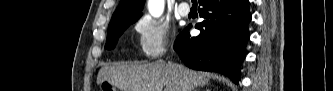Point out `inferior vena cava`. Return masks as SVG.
<instances>
[{
	"label": "inferior vena cava",
	"mask_w": 333,
	"mask_h": 91,
	"mask_svg": "<svg viewBox=\"0 0 333 91\" xmlns=\"http://www.w3.org/2000/svg\"><path fill=\"white\" fill-rule=\"evenodd\" d=\"M183 91H190L189 87L186 84H184L183 86Z\"/></svg>",
	"instance_id": "obj_1"
}]
</instances>
